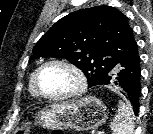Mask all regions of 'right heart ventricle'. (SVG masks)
Wrapping results in <instances>:
<instances>
[{
	"instance_id": "right-heart-ventricle-1",
	"label": "right heart ventricle",
	"mask_w": 153,
	"mask_h": 134,
	"mask_svg": "<svg viewBox=\"0 0 153 134\" xmlns=\"http://www.w3.org/2000/svg\"><path fill=\"white\" fill-rule=\"evenodd\" d=\"M36 70H34L30 76V79H29V92L32 96L34 97H38L35 89H34V85H33V78H34V74H35Z\"/></svg>"
}]
</instances>
